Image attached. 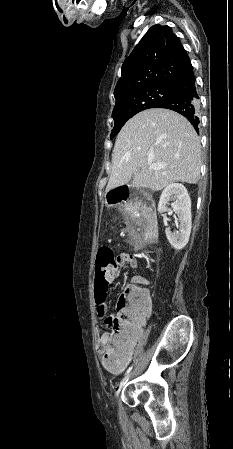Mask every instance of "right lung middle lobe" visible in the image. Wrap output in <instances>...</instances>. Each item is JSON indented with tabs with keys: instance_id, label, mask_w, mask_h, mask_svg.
I'll return each instance as SVG.
<instances>
[{
	"instance_id": "1",
	"label": "right lung middle lobe",
	"mask_w": 233,
	"mask_h": 449,
	"mask_svg": "<svg viewBox=\"0 0 233 449\" xmlns=\"http://www.w3.org/2000/svg\"><path fill=\"white\" fill-rule=\"evenodd\" d=\"M175 90L170 85H153L116 98L113 109V138L128 119L145 109L154 108L163 101L175 96Z\"/></svg>"
}]
</instances>
